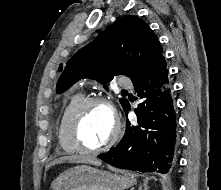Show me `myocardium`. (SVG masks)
Segmentation results:
<instances>
[{
  "mask_svg": "<svg viewBox=\"0 0 221 190\" xmlns=\"http://www.w3.org/2000/svg\"><path fill=\"white\" fill-rule=\"evenodd\" d=\"M97 104L105 105L109 108L114 119V129L110 139L107 142L97 147H88L84 144L81 137V125L83 117L87 110L93 105ZM120 132L121 124L116 109L113 106L112 102L105 97L96 96L86 98L75 108L68 121L69 138L75 146V148L77 149V151L81 153L95 154L108 150L117 142L120 136Z\"/></svg>",
  "mask_w": 221,
  "mask_h": 190,
  "instance_id": "obj_1",
  "label": "myocardium"
}]
</instances>
